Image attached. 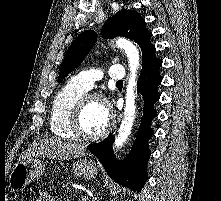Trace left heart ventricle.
Returning a JSON list of instances; mask_svg holds the SVG:
<instances>
[{
    "mask_svg": "<svg viewBox=\"0 0 221 201\" xmlns=\"http://www.w3.org/2000/svg\"><path fill=\"white\" fill-rule=\"evenodd\" d=\"M108 122L109 114L104 104L99 101L89 102L81 119L83 132L87 135H96L106 128Z\"/></svg>",
    "mask_w": 221,
    "mask_h": 201,
    "instance_id": "1",
    "label": "left heart ventricle"
}]
</instances>
